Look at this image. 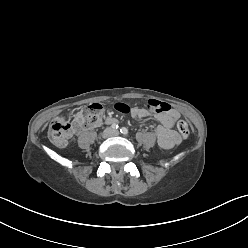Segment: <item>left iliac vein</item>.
Returning a JSON list of instances; mask_svg holds the SVG:
<instances>
[{
    "mask_svg": "<svg viewBox=\"0 0 248 248\" xmlns=\"http://www.w3.org/2000/svg\"><path fill=\"white\" fill-rule=\"evenodd\" d=\"M112 134H113V136H118V135L120 134V132H119L118 130H114V131L112 132Z\"/></svg>",
    "mask_w": 248,
    "mask_h": 248,
    "instance_id": "4c4485c4",
    "label": "left iliac vein"
}]
</instances>
